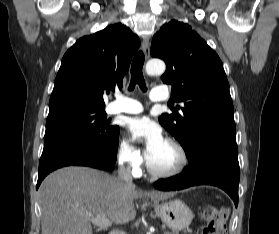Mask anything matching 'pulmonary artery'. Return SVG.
<instances>
[{
  "label": "pulmonary artery",
  "instance_id": "pulmonary-artery-1",
  "mask_svg": "<svg viewBox=\"0 0 279 234\" xmlns=\"http://www.w3.org/2000/svg\"><path fill=\"white\" fill-rule=\"evenodd\" d=\"M169 98V94L166 91H161L159 89L154 90L150 94V100L153 102L166 101ZM110 114H138L143 111L142 104L132 98L120 97L113 102H111L107 108Z\"/></svg>",
  "mask_w": 279,
  "mask_h": 234
}]
</instances>
